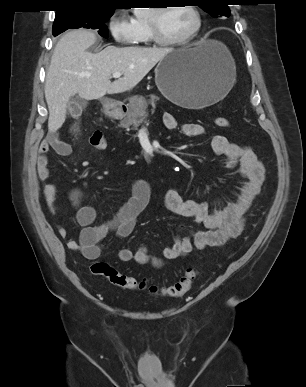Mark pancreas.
Instances as JSON below:
<instances>
[{
	"instance_id": "1",
	"label": "pancreas",
	"mask_w": 306,
	"mask_h": 387,
	"mask_svg": "<svg viewBox=\"0 0 306 387\" xmlns=\"http://www.w3.org/2000/svg\"><path fill=\"white\" fill-rule=\"evenodd\" d=\"M155 99L153 96L151 100L147 101L143 96H134L130 99L131 107L133 109V113L128 115L123 121L122 125L125 127H129L133 125L134 129H137L139 125L144 121L147 117L146 108L150 103L155 108Z\"/></svg>"
}]
</instances>
